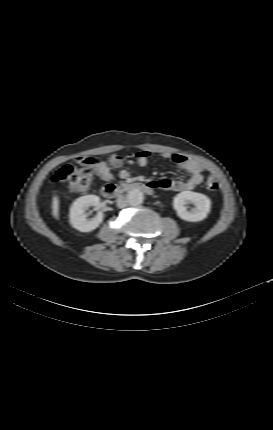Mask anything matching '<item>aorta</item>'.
I'll return each mask as SVG.
<instances>
[{"label":"aorta","mask_w":273,"mask_h":430,"mask_svg":"<svg viewBox=\"0 0 273 430\" xmlns=\"http://www.w3.org/2000/svg\"><path fill=\"white\" fill-rule=\"evenodd\" d=\"M127 201L132 206H138L143 202V193L139 189H133L128 193Z\"/></svg>","instance_id":"762f6f07"}]
</instances>
